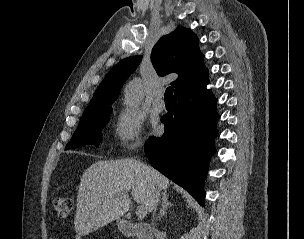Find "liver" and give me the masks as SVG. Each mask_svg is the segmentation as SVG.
Segmentation results:
<instances>
[{
  "label": "liver",
  "mask_w": 304,
  "mask_h": 239,
  "mask_svg": "<svg viewBox=\"0 0 304 239\" xmlns=\"http://www.w3.org/2000/svg\"><path fill=\"white\" fill-rule=\"evenodd\" d=\"M169 179L137 160H99L81 177L77 194L75 231L80 236L121 218L130 208L128 192L152 211L154 190H166Z\"/></svg>",
  "instance_id": "obj_1"
}]
</instances>
